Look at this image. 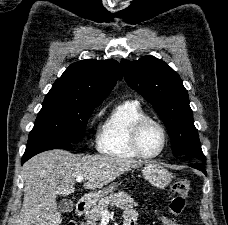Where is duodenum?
<instances>
[{
    "instance_id": "obj_1",
    "label": "duodenum",
    "mask_w": 228,
    "mask_h": 225,
    "mask_svg": "<svg viewBox=\"0 0 228 225\" xmlns=\"http://www.w3.org/2000/svg\"><path fill=\"white\" fill-rule=\"evenodd\" d=\"M89 205V200L86 198L79 199L74 207V216L68 222V225H81V217L86 212ZM133 221L131 219H127L125 221V225H133Z\"/></svg>"
}]
</instances>
